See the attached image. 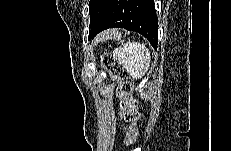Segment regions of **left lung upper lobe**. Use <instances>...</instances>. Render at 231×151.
I'll list each match as a JSON object with an SVG mask.
<instances>
[{"label": "left lung upper lobe", "mask_w": 231, "mask_h": 151, "mask_svg": "<svg viewBox=\"0 0 231 151\" xmlns=\"http://www.w3.org/2000/svg\"><path fill=\"white\" fill-rule=\"evenodd\" d=\"M109 2L110 0H90L89 2V14H90L89 31L93 30L97 26Z\"/></svg>", "instance_id": "1"}]
</instances>
